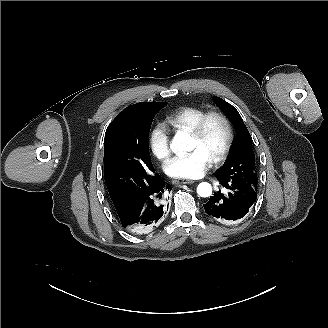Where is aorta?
I'll use <instances>...</instances> for the list:
<instances>
[{
    "label": "aorta",
    "instance_id": "aorta-1",
    "mask_svg": "<svg viewBox=\"0 0 328 328\" xmlns=\"http://www.w3.org/2000/svg\"><path fill=\"white\" fill-rule=\"evenodd\" d=\"M170 148L173 153L180 154L193 150L192 138L184 132H177L171 142ZM197 193L201 197H209L212 194V187L207 182H202L197 186Z\"/></svg>",
    "mask_w": 328,
    "mask_h": 328
}]
</instances>
